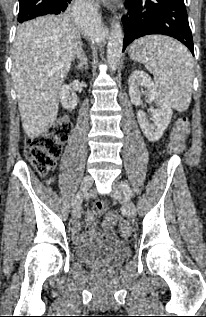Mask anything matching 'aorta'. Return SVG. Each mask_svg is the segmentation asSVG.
I'll list each match as a JSON object with an SVG mask.
<instances>
[{
	"label": "aorta",
	"instance_id": "762f6f07",
	"mask_svg": "<svg viewBox=\"0 0 206 317\" xmlns=\"http://www.w3.org/2000/svg\"><path fill=\"white\" fill-rule=\"evenodd\" d=\"M79 24L85 33L90 35H97L99 33V20L95 14L85 9L79 20ZM123 49V34L122 27L119 21L113 22L110 30L109 42L107 45V60L108 65L112 71H115L121 61Z\"/></svg>",
	"mask_w": 206,
	"mask_h": 317
}]
</instances>
